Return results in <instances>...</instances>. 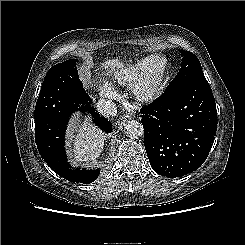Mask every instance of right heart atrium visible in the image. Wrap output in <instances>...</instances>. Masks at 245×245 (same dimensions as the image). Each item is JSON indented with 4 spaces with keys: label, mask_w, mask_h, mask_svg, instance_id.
Here are the masks:
<instances>
[{
    "label": "right heart atrium",
    "mask_w": 245,
    "mask_h": 245,
    "mask_svg": "<svg viewBox=\"0 0 245 245\" xmlns=\"http://www.w3.org/2000/svg\"><path fill=\"white\" fill-rule=\"evenodd\" d=\"M100 94L103 97L111 98L115 96L114 91L108 85H102L100 87Z\"/></svg>",
    "instance_id": "right-heart-atrium-1"
}]
</instances>
